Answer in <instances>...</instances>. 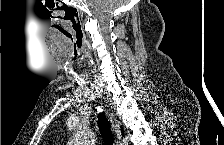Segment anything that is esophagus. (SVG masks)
Returning <instances> with one entry per match:
<instances>
[{"instance_id":"esophagus-1","label":"esophagus","mask_w":224,"mask_h":145,"mask_svg":"<svg viewBox=\"0 0 224 145\" xmlns=\"http://www.w3.org/2000/svg\"><path fill=\"white\" fill-rule=\"evenodd\" d=\"M110 121L112 123L113 131L115 132L117 138L120 139L121 138V136H120V125H119V122L116 120V118L114 117L113 114H111V116H110Z\"/></svg>"}]
</instances>
